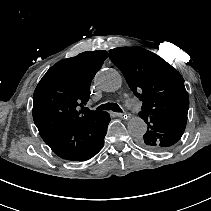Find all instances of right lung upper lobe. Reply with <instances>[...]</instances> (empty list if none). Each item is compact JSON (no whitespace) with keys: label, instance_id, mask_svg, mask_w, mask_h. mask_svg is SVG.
<instances>
[{"label":"right lung upper lobe","instance_id":"obj_1","mask_svg":"<svg viewBox=\"0 0 211 211\" xmlns=\"http://www.w3.org/2000/svg\"><path fill=\"white\" fill-rule=\"evenodd\" d=\"M106 51L84 52L52 66L33 95V119L41 137L79 125L102 111L83 105L90 98V84L107 58Z\"/></svg>","mask_w":211,"mask_h":211}]
</instances>
